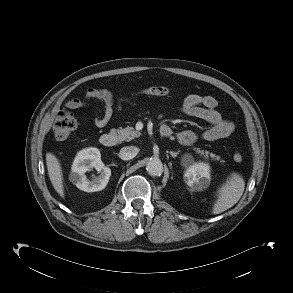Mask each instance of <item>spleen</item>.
Returning <instances> with one entry per match:
<instances>
[{
    "label": "spleen",
    "mask_w": 293,
    "mask_h": 293,
    "mask_svg": "<svg viewBox=\"0 0 293 293\" xmlns=\"http://www.w3.org/2000/svg\"><path fill=\"white\" fill-rule=\"evenodd\" d=\"M245 189V181L238 173H232L226 182L218 189V199L214 204L212 213L220 214L234 206Z\"/></svg>",
    "instance_id": "1"
}]
</instances>
